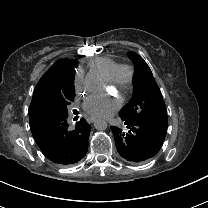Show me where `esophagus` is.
Masks as SVG:
<instances>
[{"mask_svg": "<svg viewBox=\"0 0 208 208\" xmlns=\"http://www.w3.org/2000/svg\"><path fill=\"white\" fill-rule=\"evenodd\" d=\"M86 121H87L88 123H93L94 121H96V118L93 117V116H89V117L86 118Z\"/></svg>", "mask_w": 208, "mask_h": 208, "instance_id": "34e87169", "label": "esophagus"}]
</instances>
